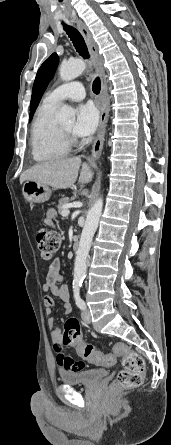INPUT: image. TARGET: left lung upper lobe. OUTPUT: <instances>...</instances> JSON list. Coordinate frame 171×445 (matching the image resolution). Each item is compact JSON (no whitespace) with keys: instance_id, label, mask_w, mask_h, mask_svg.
Returning a JSON list of instances; mask_svg holds the SVG:
<instances>
[{"instance_id":"obj_1","label":"left lung upper lobe","mask_w":171,"mask_h":445,"mask_svg":"<svg viewBox=\"0 0 171 445\" xmlns=\"http://www.w3.org/2000/svg\"><path fill=\"white\" fill-rule=\"evenodd\" d=\"M58 63L59 57L53 53L39 68L33 85L29 121H31L48 83L53 78Z\"/></svg>"}]
</instances>
